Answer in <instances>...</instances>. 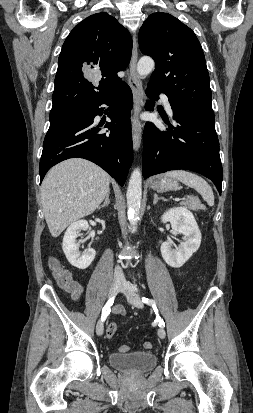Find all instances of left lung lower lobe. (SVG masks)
Returning <instances> with one entry per match:
<instances>
[{"mask_svg":"<svg viewBox=\"0 0 253 413\" xmlns=\"http://www.w3.org/2000/svg\"><path fill=\"white\" fill-rule=\"evenodd\" d=\"M160 92L155 84L149 82L146 91L149 98L157 100ZM145 109L153 111L154 107L147 102ZM172 110L177 125L172 126L165 120L168 131L159 130L151 122L145 125L144 178L169 170H191L212 180L221 194L223 172L215 120L188 111Z\"/></svg>","mask_w":253,"mask_h":413,"instance_id":"left-lung-lower-lobe-1","label":"left lung lower lobe"}]
</instances>
